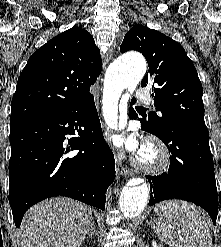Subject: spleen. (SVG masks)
Returning a JSON list of instances; mask_svg holds the SVG:
<instances>
[{
    "instance_id": "3e777b00",
    "label": "spleen",
    "mask_w": 221,
    "mask_h": 247,
    "mask_svg": "<svg viewBox=\"0 0 221 247\" xmlns=\"http://www.w3.org/2000/svg\"><path fill=\"white\" fill-rule=\"evenodd\" d=\"M161 209L163 214L158 215L153 229L166 244L175 247H212L207 223L194 205L168 201L161 205ZM174 228L180 229L181 234L175 232Z\"/></svg>"
}]
</instances>
